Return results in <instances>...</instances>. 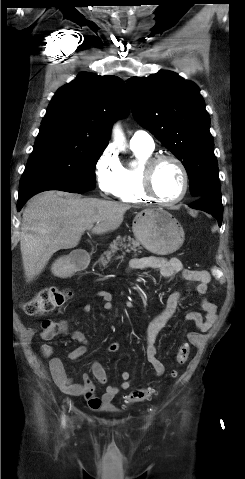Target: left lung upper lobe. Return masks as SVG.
I'll use <instances>...</instances> for the list:
<instances>
[{"instance_id":"5c2ea615","label":"left lung upper lobe","mask_w":245,"mask_h":479,"mask_svg":"<svg viewBox=\"0 0 245 479\" xmlns=\"http://www.w3.org/2000/svg\"><path fill=\"white\" fill-rule=\"evenodd\" d=\"M126 84L136 120L182 162L191 195L200 198L220 188L210 118L199 88L166 70Z\"/></svg>"}]
</instances>
